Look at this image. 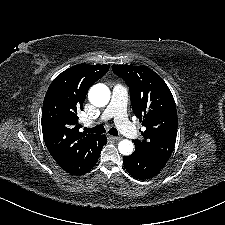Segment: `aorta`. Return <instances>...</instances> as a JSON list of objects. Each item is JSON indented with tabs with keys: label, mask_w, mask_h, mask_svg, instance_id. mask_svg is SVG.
<instances>
[{
	"label": "aorta",
	"mask_w": 225,
	"mask_h": 225,
	"mask_svg": "<svg viewBox=\"0 0 225 225\" xmlns=\"http://www.w3.org/2000/svg\"><path fill=\"white\" fill-rule=\"evenodd\" d=\"M88 98L94 106L104 107L110 100V90L105 84H95L90 88ZM118 150L122 155L129 156L134 150V144L132 141L124 139L119 142Z\"/></svg>",
	"instance_id": "aorta-1"
}]
</instances>
